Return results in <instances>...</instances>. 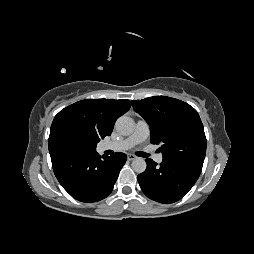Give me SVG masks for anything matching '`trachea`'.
<instances>
[{"instance_id": "trachea-1", "label": "trachea", "mask_w": 254, "mask_h": 254, "mask_svg": "<svg viewBox=\"0 0 254 254\" xmlns=\"http://www.w3.org/2000/svg\"><path fill=\"white\" fill-rule=\"evenodd\" d=\"M136 155L140 156V157H148L149 156V154H147L145 152H137Z\"/></svg>"}]
</instances>
